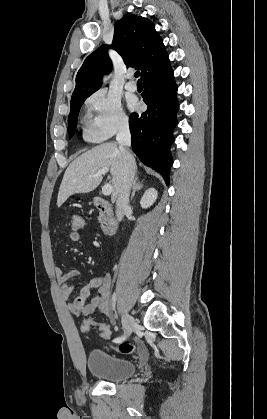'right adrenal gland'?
Returning <instances> with one entry per match:
<instances>
[{
  "instance_id": "1",
  "label": "right adrenal gland",
  "mask_w": 267,
  "mask_h": 419,
  "mask_svg": "<svg viewBox=\"0 0 267 419\" xmlns=\"http://www.w3.org/2000/svg\"><path fill=\"white\" fill-rule=\"evenodd\" d=\"M142 188H143V184L139 182L138 176H136V178L134 179V182H133L131 200H133V198L135 196V193Z\"/></svg>"
}]
</instances>
